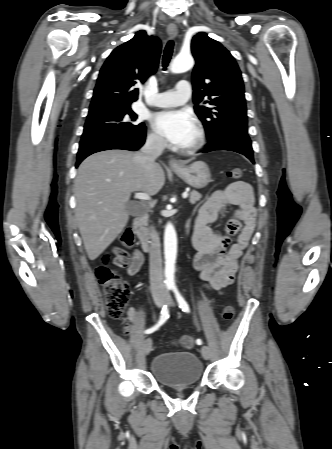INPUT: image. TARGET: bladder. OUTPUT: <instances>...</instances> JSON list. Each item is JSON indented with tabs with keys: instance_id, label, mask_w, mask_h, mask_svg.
Returning <instances> with one entry per match:
<instances>
[{
	"instance_id": "1",
	"label": "bladder",
	"mask_w": 332,
	"mask_h": 449,
	"mask_svg": "<svg viewBox=\"0 0 332 449\" xmlns=\"http://www.w3.org/2000/svg\"><path fill=\"white\" fill-rule=\"evenodd\" d=\"M203 364L192 352H165L154 357L151 373L165 387L193 386L203 377Z\"/></svg>"
}]
</instances>
